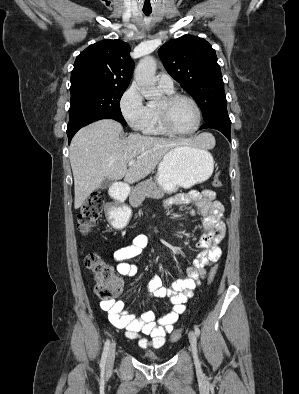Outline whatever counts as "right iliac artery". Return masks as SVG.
I'll return each instance as SVG.
<instances>
[{
    "instance_id": "right-iliac-artery-1",
    "label": "right iliac artery",
    "mask_w": 299,
    "mask_h": 394,
    "mask_svg": "<svg viewBox=\"0 0 299 394\" xmlns=\"http://www.w3.org/2000/svg\"><path fill=\"white\" fill-rule=\"evenodd\" d=\"M109 346H110V340L107 339L104 344V349H103V353H102V357H101V361H100V367L102 369H104V367H105V363H106V359H107V355H108V351H109Z\"/></svg>"
}]
</instances>
